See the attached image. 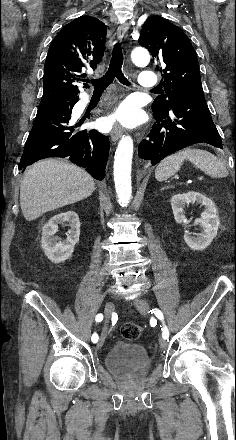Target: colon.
<instances>
[{
    "mask_svg": "<svg viewBox=\"0 0 236 440\" xmlns=\"http://www.w3.org/2000/svg\"><path fill=\"white\" fill-rule=\"evenodd\" d=\"M123 337L127 340L133 341L139 338L142 333V327L135 323H126L121 329Z\"/></svg>",
    "mask_w": 236,
    "mask_h": 440,
    "instance_id": "obj_1",
    "label": "colon"
}]
</instances>
